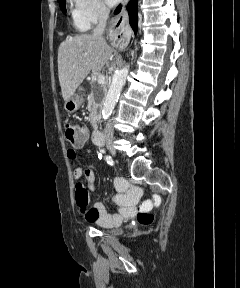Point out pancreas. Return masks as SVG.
<instances>
[{
	"label": "pancreas",
	"instance_id": "cf45deb5",
	"mask_svg": "<svg viewBox=\"0 0 240 288\" xmlns=\"http://www.w3.org/2000/svg\"><path fill=\"white\" fill-rule=\"evenodd\" d=\"M106 94V87L98 84L97 82H93V90L88 97V105L87 108L90 112L91 119L97 114L98 103L96 101V93Z\"/></svg>",
	"mask_w": 240,
	"mask_h": 288
}]
</instances>
